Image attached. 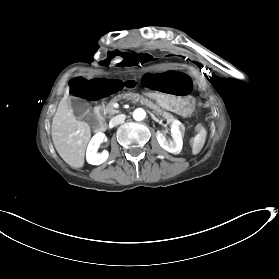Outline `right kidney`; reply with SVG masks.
<instances>
[{
    "label": "right kidney",
    "mask_w": 279,
    "mask_h": 279,
    "mask_svg": "<svg viewBox=\"0 0 279 279\" xmlns=\"http://www.w3.org/2000/svg\"><path fill=\"white\" fill-rule=\"evenodd\" d=\"M104 139H105V134L99 132L96 133L91 139V141L89 142L86 151V160L89 164L100 165L107 160L109 156L108 151L104 150L101 153L97 152L100 144L104 141Z\"/></svg>",
    "instance_id": "1"
}]
</instances>
